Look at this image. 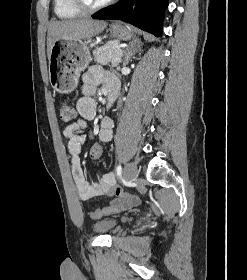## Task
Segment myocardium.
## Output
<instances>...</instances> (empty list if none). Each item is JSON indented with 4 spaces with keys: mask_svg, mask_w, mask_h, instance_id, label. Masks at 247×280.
Listing matches in <instances>:
<instances>
[{
    "mask_svg": "<svg viewBox=\"0 0 247 280\" xmlns=\"http://www.w3.org/2000/svg\"><path fill=\"white\" fill-rule=\"evenodd\" d=\"M114 0H106L97 5H89L85 0H71L73 6L83 13H93L109 6Z\"/></svg>",
    "mask_w": 247,
    "mask_h": 280,
    "instance_id": "1",
    "label": "myocardium"
}]
</instances>
